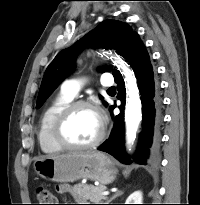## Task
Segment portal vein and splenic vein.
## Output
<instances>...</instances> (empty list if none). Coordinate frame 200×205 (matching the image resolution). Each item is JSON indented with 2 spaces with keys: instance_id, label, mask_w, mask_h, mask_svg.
<instances>
[{
  "instance_id": "portal-vein-and-splenic-vein-1",
  "label": "portal vein and splenic vein",
  "mask_w": 200,
  "mask_h": 205,
  "mask_svg": "<svg viewBox=\"0 0 200 205\" xmlns=\"http://www.w3.org/2000/svg\"><path fill=\"white\" fill-rule=\"evenodd\" d=\"M101 194L104 196H107V195H109V191H103Z\"/></svg>"
}]
</instances>
